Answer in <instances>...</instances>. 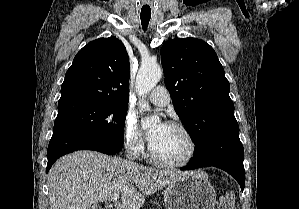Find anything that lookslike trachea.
<instances>
[{
  "mask_svg": "<svg viewBox=\"0 0 299 209\" xmlns=\"http://www.w3.org/2000/svg\"><path fill=\"white\" fill-rule=\"evenodd\" d=\"M141 24H142V28L144 31L147 30V27H148V24H149V21H150V17H147V16H141Z\"/></svg>",
  "mask_w": 299,
  "mask_h": 209,
  "instance_id": "1",
  "label": "trachea"
}]
</instances>
